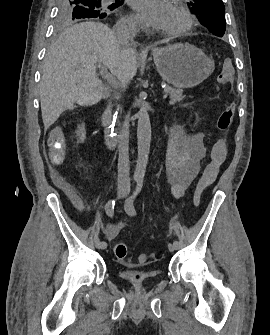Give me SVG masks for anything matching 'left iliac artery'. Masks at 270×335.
Masks as SVG:
<instances>
[{
	"label": "left iliac artery",
	"mask_w": 270,
	"mask_h": 335,
	"mask_svg": "<svg viewBox=\"0 0 270 335\" xmlns=\"http://www.w3.org/2000/svg\"><path fill=\"white\" fill-rule=\"evenodd\" d=\"M142 187H143V180H138L137 181V186H136V189H135L133 195L129 199H127L126 202H125V210L129 215H136V210H135V207H134V200L136 199L138 194L141 192ZM173 245L176 248H179L181 246L180 242L177 241V240H174Z\"/></svg>",
	"instance_id": "left-iliac-artery-1"
}]
</instances>
